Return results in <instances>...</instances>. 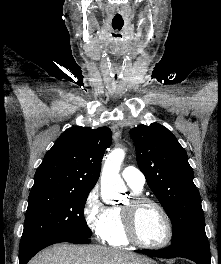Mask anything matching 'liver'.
Segmentation results:
<instances>
[{
	"label": "liver",
	"mask_w": 221,
	"mask_h": 264,
	"mask_svg": "<svg viewBox=\"0 0 221 264\" xmlns=\"http://www.w3.org/2000/svg\"><path fill=\"white\" fill-rule=\"evenodd\" d=\"M144 256L100 245L59 244L45 249L28 264H150Z\"/></svg>",
	"instance_id": "liver-1"
}]
</instances>
